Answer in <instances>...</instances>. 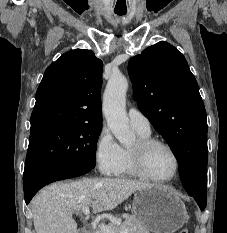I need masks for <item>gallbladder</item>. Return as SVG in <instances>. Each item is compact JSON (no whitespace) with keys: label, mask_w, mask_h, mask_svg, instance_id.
Returning <instances> with one entry per match:
<instances>
[{"label":"gallbladder","mask_w":227,"mask_h":233,"mask_svg":"<svg viewBox=\"0 0 227 233\" xmlns=\"http://www.w3.org/2000/svg\"><path fill=\"white\" fill-rule=\"evenodd\" d=\"M77 233H84V231L82 229H78Z\"/></svg>","instance_id":"obj_1"}]
</instances>
